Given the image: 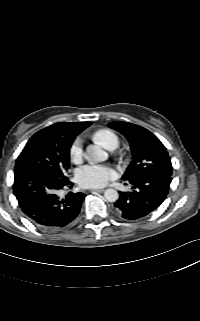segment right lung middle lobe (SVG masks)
Masks as SVG:
<instances>
[{
	"label": "right lung middle lobe",
	"mask_w": 200,
	"mask_h": 321,
	"mask_svg": "<svg viewBox=\"0 0 200 321\" xmlns=\"http://www.w3.org/2000/svg\"><path fill=\"white\" fill-rule=\"evenodd\" d=\"M71 144L56 140L46 128L38 131L18 156L15 173L26 169H40L57 178H68Z\"/></svg>",
	"instance_id": "dd1d6c3e"
}]
</instances>
